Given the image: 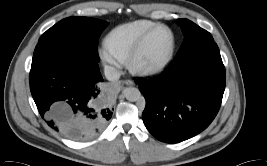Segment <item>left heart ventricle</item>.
Listing matches in <instances>:
<instances>
[{"label": "left heart ventricle", "instance_id": "b2bd125f", "mask_svg": "<svg viewBox=\"0 0 267 166\" xmlns=\"http://www.w3.org/2000/svg\"><path fill=\"white\" fill-rule=\"evenodd\" d=\"M171 46V35L166 29L157 30L148 40L137 63L150 66L161 62L168 54Z\"/></svg>", "mask_w": 267, "mask_h": 166}]
</instances>
